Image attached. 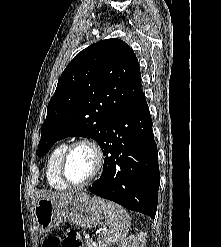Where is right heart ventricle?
Masks as SVG:
<instances>
[{
  "instance_id": "1",
  "label": "right heart ventricle",
  "mask_w": 221,
  "mask_h": 247,
  "mask_svg": "<svg viewBox=\"0 0 221 247\" xmlns=\"http://www.w3.org/2000/svg\"><path fill=\"white\" fill-rule=\"evenodd\" d=\"M67 142L59 143L50 153L47 162V181L56 190H66L68 185L60 177V163L68 147Z\"/></svg>"
}]
</instances>
